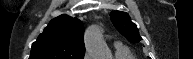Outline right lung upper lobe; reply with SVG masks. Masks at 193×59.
Segmentation results:
<instances>
[{
    "label": "right lung upper lobe",
    "mask_w": 193,
    "mask_h": 59,
    "mask_svg": "<svg viewBox=\"0 0 193 59\" xmlns=\"http://www.w3.org/2000/svg\"><path fill=\"white\" fill-rule=\"evenodd\" d=\"M84 25L68 15H61L49 25L32 44L29 59H83Z\"/></svg>",
    "instance_id": "right-lung-upper-lobe-1"
}]
</instances>
